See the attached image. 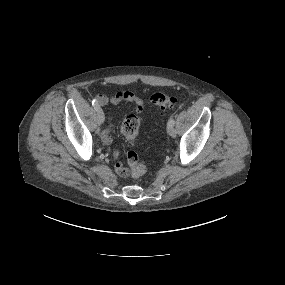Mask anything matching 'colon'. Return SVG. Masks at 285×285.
Returning a JSON list of instances; mask_svg holds the SVG:
<instances>
[{
    "mask_svg": "<svg viewBox=\"0 0 285 285\" xmlns=\"http://www.w3.org/2000/svg\"><path fill=\"white\" fill-rule=\"evenodd\" d=\"M153 104L161 109L172 108L176 104V99L162 92H155L151 96ZM140 120L135 115L126 116L121 124L122 134L129 140H136L139 135ZM130 173L134 177H140L146 173V167L138 163V156L135 152H128L126 155Z\"/></svg>",
    "mask_w": 285,
    "mask_h": 285,
    "instance_id": "5ec220e1",
    "label": "colon"
}]
</instances>
